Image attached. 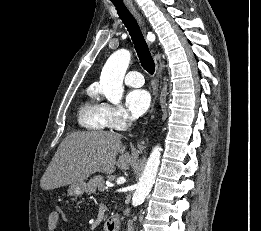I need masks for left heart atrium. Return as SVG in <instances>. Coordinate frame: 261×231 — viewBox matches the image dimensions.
Instances as JSON below:
<instances>
[{
  "label": "left heart atrium",
  "instance_id": "obj_1",
  "mask_svg": "<svg viewBox=\"0 0 261 231\" xmlns=\"http://www.w3.org/2000/svg\"><path fill=\"white\" fill-rule=\"evenodd\" d=\"M126 105L134 116H141L150 108V94L144 89L132 90L126 95Z\"/></svg>",
  "mask_w": 261,
  "mask_h": 231
}]
</instances>
